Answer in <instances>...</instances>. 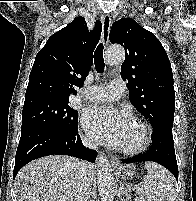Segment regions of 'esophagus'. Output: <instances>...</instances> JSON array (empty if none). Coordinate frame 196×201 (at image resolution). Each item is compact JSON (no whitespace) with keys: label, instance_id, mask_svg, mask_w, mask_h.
<instances>
[{"label":"esophagus","instance_id":"obj_1","mask_svg":"<svg viewBox=\"0 0 196 201\" xmlns=\"http://www.w3.org/2000/svg\"><path fill=\"white\" fill-rule=\"evenodd\" d=\"M102 24H103V29H102V42L104 46L108 45L109 42V33H110V26H111V16L109 14H105L102 17ZM111 163L113 165H118L119 160L112 158Z\"/></svg>","mask_w":196,"mask_h":201}]
</instances>
